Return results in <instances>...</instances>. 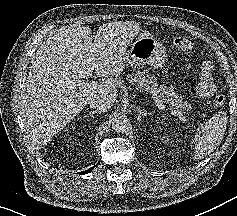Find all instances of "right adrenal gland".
Masks as SVG:
<instances>
[{
    "label": "right adrenal gland",
    "mask_w": 237,
    "mask_h": 216,
    "mask_svg": "<svg viewBox=\"0 0 237 216\" xmlns=\"http://www.w3.org/2000/svg\"><path fill=\"white\" fill-rule=\"evenodd\" d=\"M96 113H97L96 110H91L90 113H89L88 115H85V116H84V118H87V117H89V116H90L91 118H94L93 115L96 114Z\"/></svg>",
    "instance_id": "right-adrenal-gland-1"
}]
</instances>
